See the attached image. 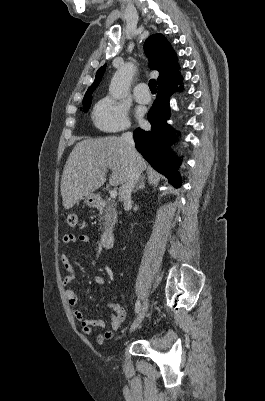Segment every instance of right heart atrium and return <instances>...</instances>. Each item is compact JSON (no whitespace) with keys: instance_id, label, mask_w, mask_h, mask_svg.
<instances>
[{"instance_id":"1","label":"right heart atrium","mask_w":265,"mask_h":401,"mask_svg":"<svg viewBox=\"0 0 265 401\" xmlns=\"http://www.w3.org/2000/svg\"><path fill=\"white\" fill-rule=\"evenodd\" d=\"M93 120L99 128L109 133L125 132L130 128L127 107L111 95L96 103Z\"/></svg>"}]
</instances>
